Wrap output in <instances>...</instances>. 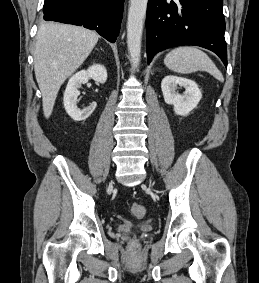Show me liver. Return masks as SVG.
Segmentation results:
<instances>
[{
	"label": "liver",
	"instance_id": "obj_1",
	"mask_svg": "<svg viewBox=\"0 0 259 283\" xmlns=\"http://www.w3.org/2000/svg\"><path fill=\"white\" fill-rule=\"evenodd\" d=\"M98 39L97 33L84 27L54 22L40 25L33 56L45 118L52 114L61 85L83 64Z\"/></svg>",
	"mask_w": 259,
	"mask_h": 283
}]
</instances>
